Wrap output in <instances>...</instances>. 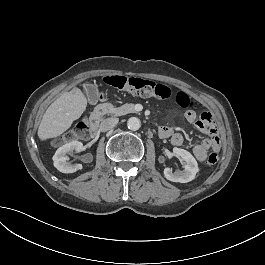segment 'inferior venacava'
Listing matches in <instances>:
<instances>
[{"label": "inferior vena cava", "instance_id": "602c4592", "mask_svg": "<svg viewBox=\"0 0 265 265\" xmlns=\"http://www.w3.org/2000/svg\"><path fill=\"white\" fill-rule=\"evenodd\" d=\"M118 121H119L118 118H107V119H104L100 123L99 130L101 132L109 131L110 129H112L118 123Z\"/></svg>", "mask_w": 265, "mask_h": 265}]
</instances>
